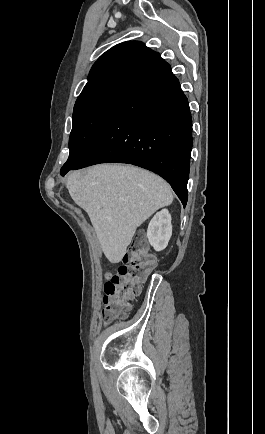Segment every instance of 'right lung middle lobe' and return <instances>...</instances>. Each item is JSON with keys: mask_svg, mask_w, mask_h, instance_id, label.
<instances>
[{"mask_svg": "<svg viewBox=\"0 0 265 434\" xmlns=\"http://www.w3.org/2000/svg\"><path fill=\"white\" fill-rule=\"evenodd\" d=\"M133 77L118 74L86 84L74 106L70 154L60 172L73 167L84 156Z\"/></svg>", "mask_w": 265, "mask_h": 434, "instance_id": "dd1d6c3e", "label": "right lung middle lobe"}]
</instances>
